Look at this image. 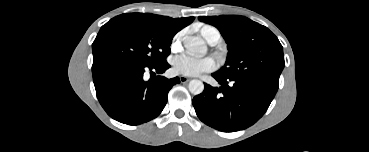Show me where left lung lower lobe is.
<instances>
[{
  "label": "left lung lower lobe",
  "instance_id": "obj_1",
  "mask_svg": "<svg viewBox=\"0 0 369 152\" xmlns=\"http://www.w3.org/2000/svg\"><path fill=\"white\" fill-rule=\"evenodd\" d=\"M212 76L221 87L205 84L192 103L202 122L223 132L243 130L257 122L278 90V82L271 80Z\"/></svg>",
  "mask_w": 369,
  "mask_h": 152
}]
</instances>
